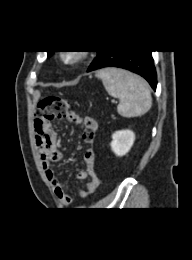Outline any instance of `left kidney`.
<instances>
[{"label": "left kidney", "instance_id": "left-kidney-1", "mask_svg": "<svg viewBox=\"0 0 192 260\" xmlns=\"http://www.w3.org/2000/svg\"><path fill=\"white\" fill-rule=\"evenodd\" d=\"M135 140V134L131 130L116 131L112 135L111 149L117 156H123L129 152Z\"/></svg>", "mask_w": 192, "mask_h": 260}]
</instances>
